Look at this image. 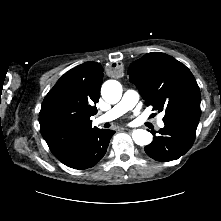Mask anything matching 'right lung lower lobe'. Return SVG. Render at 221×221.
<instances>
[{
  "mask_svg": "<svg viewBox=\"0 0 221 221\" xmlns=\"http://www.w3.org/2000/svg\"><path fill=\"white\" fill-rule=\"evenodd\" d=\"M114 133L111 130L97 128L58 159L74 169L93 167L105 155Z\"/></svg>",
  "mask_w": 221,
  "mask_h": 221,
  "instance_id": "98d812e1",
  "label": "right lung lower lobe"
}]
</instances>
